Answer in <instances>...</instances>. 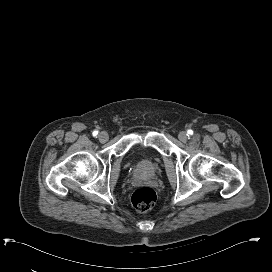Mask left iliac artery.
Masks as SVG:
<instances>
[{"label": "left iliac artery", "mask_w": 272, "mask_h": 272, "mask_svg": "<svg viewBox=\"0 0 272 272\" xmlns=\"http://www.w3.org/2000/svg\"><path fill=\"white\" fill-rule=\"evenodd\" d=\"M187 133H188L189 135H192V134H193V130L189 129V130L187 131Z\"/></svg>", "instance_id": "44dca946"}]
</instances>
